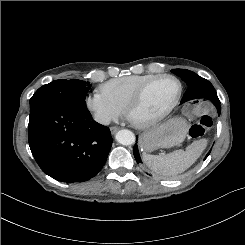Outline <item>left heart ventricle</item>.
Instances as JSON below:
<instances>
[{
  "label": "left heart ventricle",
  "instance_id": "b2bd125f",
  "mask_svg": "<svg viewBox=\"0 0 245 245\" xmlns=\"http://www.w3.org/2000/svg\"><path fill=\"white\" fill-rule=\"evenodd\" d=\"M178 88V83L172 79H164L153 84L145 93L141 104L133 112V119L147 120L162 113L176 97Z\"/></svg>",
  "mask_w": 245,
  "mask_h": 245
}]
</instances>
